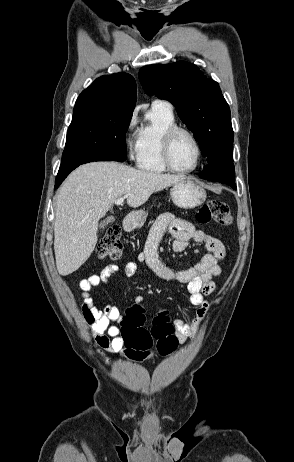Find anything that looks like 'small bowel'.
I'll return each mask as SVG.
<instances>
[{
  "mask_svg": "<svg viewBox=\"0 0 294 462\" xmlns=\"http://www.w3.org/2000/svg\"><path fill=\"white\" fill-rule=\"evenodd\" d=\"M165 233L172 235L174 239L172 249L175 252L184 251L190 241H195L203 244L207 253L195 265L182 270H174L164 264L159 255V246ZM224 256L225 248L219 239L196 230L189 221L166 213L161 215L152 226L144 251L138 255L136 261H131L123 267V273L126 277H133L138 264L145 263L158 278L186 286L190 303L198 309L196 316L190 323L180 318H175L172 322L178 342L184 343L196 336L200 324L208 312L209 303L205 296L210 295L215 290L216 286L213 279L221 274L219 261ZM118 270L117 265L110 264L105 266L100 273L90 275L80 281L83 317L92 327L95 347L106 364H109L110 361L104 356L103 351L120 353L126 361L141 362L148 357V354L132 349L124 343L121 330L117 326L123 317L119 308L110 304L98 308L91 295L95 287L107 284L109 277Z\"/></svg>",
  "mask_w": 294,
  "mask_h": 462,
  "instance_id": "obj_1",
  "label": "small bowel"
}]
</instances>
